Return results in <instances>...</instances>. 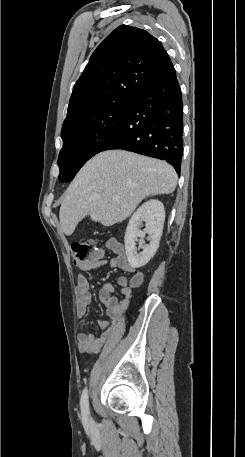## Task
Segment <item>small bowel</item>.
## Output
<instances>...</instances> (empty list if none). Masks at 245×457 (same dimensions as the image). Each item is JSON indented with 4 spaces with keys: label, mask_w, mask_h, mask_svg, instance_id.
Masks as SVG:
<instances>
[{
    "label": "small bowel",
    "mask_w": 245,
    "mask_h": 457,
    "mask_svg": "<svg viewBox=\"0 0 245 457\" xmlns=\"http://www.w3.org/2000/svg\"><path fill=\"white\" fill-rule=\"evenodd\" d=\"M106 248L115 253L116 257L110 260H103V251L99 250L94 258L79 265V268L84 271L97 267H106L109 269L120 268L131 274V278L129 280L125 277H119L117 279L120 297L113 296L114 287L111 284L105 283L102 285L99 292V300L106 306L111 322H99L103 332L98 337L89 330L78 333L79 351L86 354H95L104 345L112 346L119 342L123 333L121 319L128 308L132 290L139 287L143 282V273L129 263L120 242L116 239H109L106 242ZM76 293V313L82 319L87 314V308L92 298L89 280L82 274L77 276Z\"/></svg>",
    "instance_id": "small-bowel-1"
}]
</instances>
